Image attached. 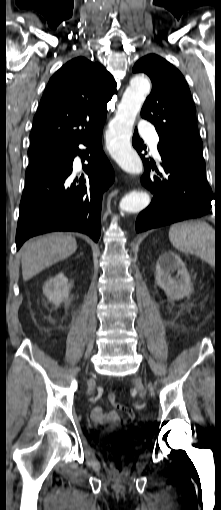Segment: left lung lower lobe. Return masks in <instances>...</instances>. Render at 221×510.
Returning <instances> with one entry per match:
<instances>
[{
  "label": "left lung lower lobe",
  "instance_id": "obj_1",
  "mask_svg": "<svg viewBox=\"0 0 221 510\" xmlns=\"http://www.w3.org/2000/svg\"><path fill=\"white\" fill-rule=\"evenodd\" d=\"M132 144L147 170L141 178V183L154 195L151 204L137 217L138 233L209 213L214 198L206 180L205 168L160 152L165 177H152L149 171L151 168L156 169V166L152 163L150 165L149 160L141 154L145 147H142L143 141L136 129Z\"/></svg>",
  "mask_w": 221,
  "mask_h": 510
}]
</instances>
